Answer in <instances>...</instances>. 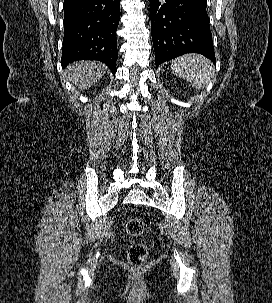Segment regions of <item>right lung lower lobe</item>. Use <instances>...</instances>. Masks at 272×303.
<instances>
[{
  "label": "right lung lower lobe",
  "instance_id": "1",
  "mask_svg": "<svg viewBox=\"0 0 272 303\" xmlns=\"http://www.w3.org/2000/svg\"><path fill=\"white\" fill-rule=\"evenodd\" d=\"M120 0H76L64 4L62 67L76 60H99L115 75Z\"/></svg>",
  "mask_w": 272,
  "mask_h": 303
}]
</instances>
